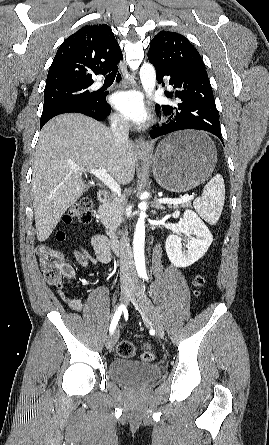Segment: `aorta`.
<instances>
[{
	"instance_id": "aorta-1",
	"label": "aorta",
	"mask_w": 269,
	"mask_h": 445,
	"mask_svg": "<svg viewBox=\"0 0 269 445\" xmlns=\"http://www.w3.org/2000/svg\"><path fill=\"white\" fill-rule=\"evenodd\" d=\"M140 79L144 91L151 97L156 85V72L150 63H144L140 68ZM141 210L140 217L137 221L134 239H133V254L137 272L140 276L146 275L144 242H145V217L147 203L145 201L139 204Z\"/></svg>"
}]
</instances>
